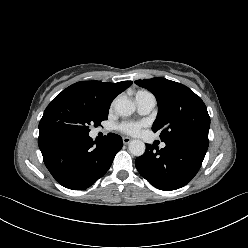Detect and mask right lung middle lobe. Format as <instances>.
Listing matches in <instances>:
<instances>
[{"mask_svg":"<svg viewBox=\"0 0 248 248\" xmlns=\"http://www.w3.org/2000/svg\"><path fill=\"white\" fill-rule=\"evenodd\" d=\"M107 118L108 115H99L76 101L56 97L44 111L39 133L60 131L86 135L90 125L97 127Z\"/></svg>","mask_w":248,"mask_h":248,"instance_id":"obj_1","label":"right lung middle lobe"}]
</instances>
